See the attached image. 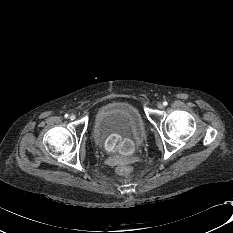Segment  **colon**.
<instances>
[{
	"instance_id": "1",
	"label": "colon",
	"mask_w": 233,
	"mask_h": 233,
	"mask_svg": "<svg viewBox=\"0 0 233 233\" xmlns=\"http://www.w3.org/2000/svg\"><path fill=\"white\" fill-rule=\"evenodd\" d=\"M117 172L120 175H128L130 173V170L127 167L122 166L117 169Z\"/></svg>"
}]
</instances>
